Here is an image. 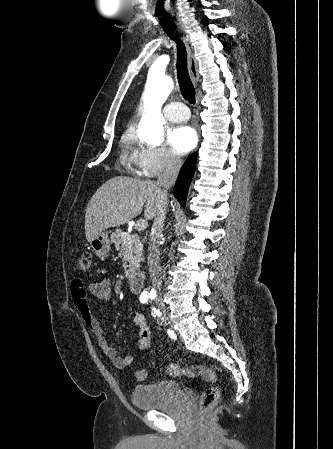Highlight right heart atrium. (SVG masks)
<instances>
[{
  "label": "right heart atrium",
  "mask_w": 333,
  "mask_h": 449,
  "mask_svg": "<svg viewBox=\"0 0 333 449\" xmlns=\"http://www.w3.org/2000/svg\"><path fill=\"white\" fill-rule=\"evenodd\" d=\"M131 158L138 174L144 178L176 172L182 164L180 157L164 145L140 144Z\"/></svg>",
  "instance_id": "d8ad5b80"
}]
</instances>
